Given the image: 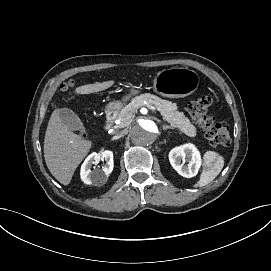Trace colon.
I'll return each instance as SVG.
<instances>
[{"mask_svg":"<svg viewBox=\"0 0 271 271\" xmlns=\"http://www.w3.org/2000/svg\"><path fill=\"white\" fill-rule=\"evenodd\" d=\"M74 87V82H66L62 89L70 92ZM211 95H202L194 101H190L186 108L194 121L201 127L205 137L212 145H228L231 142V135L226 123L216 121L208 115V109L212 105Z\"/></svg>","mask_w":271,"mask_h":271,"instance_id":"5ec220e1","label":"colon"}]
</instances>
